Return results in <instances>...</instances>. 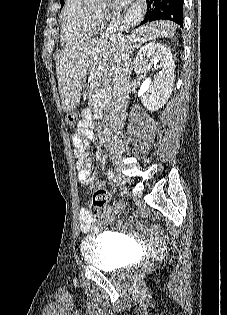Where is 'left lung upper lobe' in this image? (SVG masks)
Wrapping results in <instances>:
<instances>
[{
    "mask_svg": "<svg viewBox=\"0 0 227 315\" xmlns=\"http://www.w3.org/2000/svg\"><path fill=\"white\" fill-rule=\"evenodd\" d=\"M60 2H61V6H63V4H64V0H60Z\"/></svg>",
    "mask_w": 227,
    "mask_h": 315,
    "instance_id": "1",
    "label": "left lung upper lobe"
}]
</instances>
